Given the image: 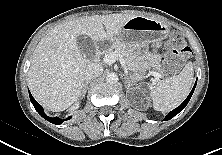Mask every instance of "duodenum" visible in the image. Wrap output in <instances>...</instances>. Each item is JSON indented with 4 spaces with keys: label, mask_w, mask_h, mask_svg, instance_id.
Instances as JSON below:
<instances>
[{
    "label": "duodenum",
    "mask_w": 222,
    "mask_h": 155,
    "mask_svg": "<svg viewBox=\"0 0 222 155\" xmlns=\"http://www.w3.org/2000/svg\"><path fill=\"white\" fill-rule=\"evenodd\" d=\"M99 54H100V46L98 45L96 49V56H98Z\"/></svg>",
    "instance_id": "410a0bca"
}]
</instances>
